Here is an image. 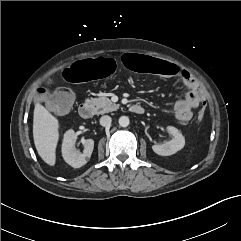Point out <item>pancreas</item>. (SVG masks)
Listing matches in <instances>:
<instances>
[{
  "instance_id": "pancreas-1",
  "label": "pancreas",
  "mask_w": 241,
  "mask_h": 241,
  "mask_svg": "<svg viewBox=\"0 0 241 241\" xmlns=\"http://www.w3.org/2000/svg\"><path fill=\"white\" fill-rule=\"evenodd\" d=\"M89 103L93 106L96 114H105L117 110L119 105L114 104L107 97L91 98Z\"/></svg>"
}]
</instances>
